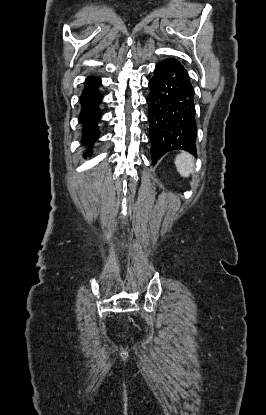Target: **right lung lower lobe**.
Segmentation results:
<instances>
[{
  "label": "right lung lower lobe",
  "mask_w": 266,
  "mask_h": 415,
  "mask_svg": "<svg viewBox=\"0 0 266 415\" xmlns=\"http://www.w3.org/2000/svg\"><path fill=\"white\" fill-rule=\"evenodd\" d=\"M101 80L99 78H86L84 89L80 96L81 112L79 122L82 125V145L91 148L99 137L98 123L102 112L100 104L103 95L99 90Z\"/></svg>",
  "instance_id": "obj_1"
}]
</instances>
